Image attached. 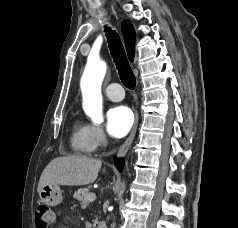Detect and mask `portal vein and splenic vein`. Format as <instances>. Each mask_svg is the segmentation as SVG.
<instances>
[{"label": "portal vein and splenic vein", "mask_w": 238, "mask_h": 228, "mask_svg": "<svg viewBox=\"0 0 238 228\" xmlns=\"http://www.w3.org/2000/svg\"><path fill=\"white\" fill-rule=\"evenodd\" d=\"M95 198H96L95 193H90L89 195H87V196L85 197V200H87V201H93V200H95Z\"/></svg>", "instance_id": "1"}]
</instances>
